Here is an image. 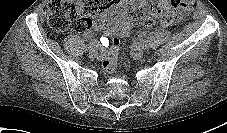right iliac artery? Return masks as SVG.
Wrapping results in <instances>:
<instances>
[{"mask_svg":"<svg viewBox=\"0 0 227 133\" xmlns=\"http://www.w3.org/2000/svg\"><path fill=\"white\" fill-rule=\"evenodd\" d=\"M93 47L99 48L101 51L105 50V47L103 45H100L99 43H96V44L89 43L88 45L85 46L84 50L87 51V50H90Z\"/></svg>","mask_w":227,"mask_h":133,"instance_id":"1","label":"right iliac artery"}]
</instances>
